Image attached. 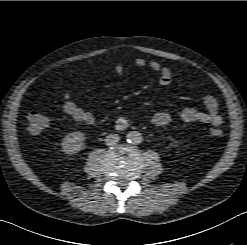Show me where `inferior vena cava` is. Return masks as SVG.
I'll use <instances>...</instances> for the list:
<instances>
[{"label":"inferior vena cava","instance_id":"obj_1","mask_svg":"<svg viewBox=\"0 0 247 245\" xmlns=\"http://www.w3.org/2000/svg\"><path fill=\"white\" fill-rule=\"evenodd\" d=\"M120 140L119 136L116 134H109L105 138L107 145H115Z\"/></svg>","mask_w":247,"mask_h":245}]
</instances>
